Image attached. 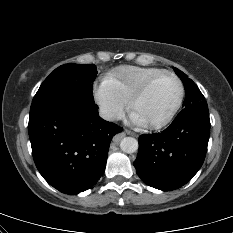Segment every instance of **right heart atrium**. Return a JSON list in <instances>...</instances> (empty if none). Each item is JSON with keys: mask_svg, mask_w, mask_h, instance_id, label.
I'll return each instance as SVG.
<instances>
[{"mask_svg": "<svg viewBox=\"0 0 233 233\" xmlns=\"http://www.w3.org/2000/svg\"><path fill=\"white\" fill-rule=\"evenodd\" d=\"M93 95L103 115L108 120L117 119L123 114L126 104L116 97L103 83L94 87Z\"/></svg>", "mask_w": 233, "mask_h": 233, "instance_id": "obj_1", "label": "right heart atrium"}]
</instances>
